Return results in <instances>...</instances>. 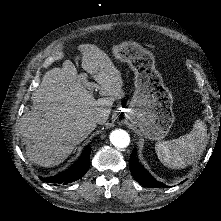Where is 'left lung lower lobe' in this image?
I'll return each mask as SVG.
<instances>
[{"label": "left lung lower lobe", "mask_w": 221, "mask_h": 221, "mask_svg": "<svg viewBox=\"0 0 221 221\" xmlns=\"http://www.w3.org/2000/svg\"><path fill=\"white\" fill-rule=\"evenodd\" d=\"M136 153L137 151L135 148L131 153L129 162V168L135 180L146 187H167L152 177L151 174L138 162Z\"/></svg>", "instance_id": "left-lung-lower-lobe-1"}]
</instances>
